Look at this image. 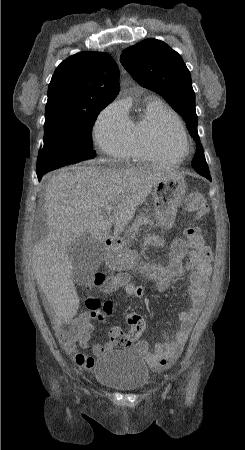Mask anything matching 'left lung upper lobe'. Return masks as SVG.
Wrapping results in <instances>:
<instances>
[{"label": "left lung upper lobe", "instance_id": "5c2ea615", "mask_svg": "<svg viewBox=\"0 0 245 450\" xmlns=\"http://www.w3.org/2000/svg\"><path fill=\"white\" fill-rule=\"evenodd\" d=\"M120 61L140 85L165 97L187 123L197 149L201 148L191 74L181 56L160 40L146 39L125 49ZM192 165L199 174L209 173L204 154L196 151Z\"/></svg>", "mask_w": 245, "mask_h": 450}]
</instances>
